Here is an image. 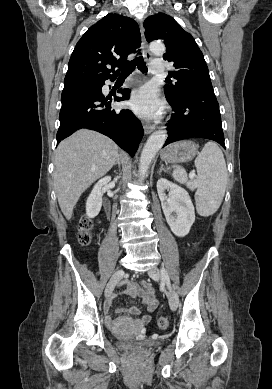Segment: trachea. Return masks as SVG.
I'll use <instances>...</instances> for the list:
<instances>
[{
	"label": "trachea",
	"instance_id": "obj_1",
	"mask_svg": "<svg viewBox=\"0 0 272 389\" xmlns=\"http://www.w3.org/2000/svg\"><path fill=\"white\" fill-rule=\"evenodd\" d=\"M139 54H141V53L139 52ZM136 66L138 67V69L141 72H143V73L147 72L146 63L144 62L143 57L140 55L137 58H135L134 60H132L131 62H128V63L119 67V69L121 71V75L127 76V75L131 74L134 71Z\"/></svg>",
	"mask_w": 272,
	"mask_h": 389
}]
</instances>
